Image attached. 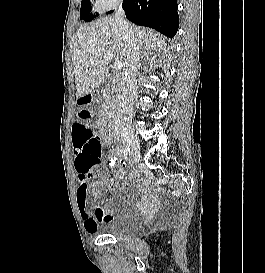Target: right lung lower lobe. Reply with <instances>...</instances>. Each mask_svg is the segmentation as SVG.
Instances as JSON below:
<instances>
[{
  "instance_id": "right-lung-lower-lobe-1",
  "label": "right lung lower lobe",
  "mask_w": 265,
  "mask_h": 273,
  "mask_svg": "<svg viewBox=\"0 0 265 273\" xmlns=\"http://www.w3.org/2000/svg\"><path fill=\"white\" fill-rule=\"evenodd\" d=\"M127 19L173 38L179 27L177 0H123Z\"/></svg>"
}]
</instances>
